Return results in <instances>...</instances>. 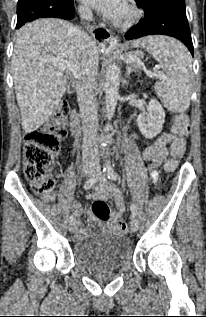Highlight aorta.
<instances>
[{"label": "aorta", "mask_w": 206, "mask_h": 317, "mask_svg": "<svg viewBox=\"0 0 206 317\" xmlns=\"http://www.w3.org/2000/svg\"><path fill=\"white\" fill-rule=\"evenodd\" d=\"M119 75L120 69L118 65L116 63L110 64L106 70L104 81L105 104L108 120H111L114 115L117 99L119 97Z\"/></svg>", "instance_id": "aorta-1"}]
</instances>
